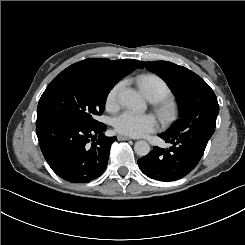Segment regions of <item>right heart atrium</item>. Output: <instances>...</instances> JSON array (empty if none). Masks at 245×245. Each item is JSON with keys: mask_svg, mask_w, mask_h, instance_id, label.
Masks as SVG:
<instances>
[{"mask_svg": "<svg viewBox=\"0 0 245 245\" xmlns=\"http://www.w3.org/2000/svg\"><path fill=\"white\" fill-rule=\"evenodd\" d=\"M122 86V82H118L109 90L106 97L107 109L115 110L120 105V93Z\"/></svg>", "mask_w": 245, "mask_h": 245, "instance_id": "1", "label": "right heart atrium"}]
</instances>
